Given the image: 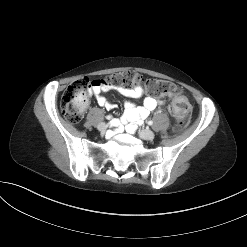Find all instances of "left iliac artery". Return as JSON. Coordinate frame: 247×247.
<instances>
[{"label": "left iliac artery", "instance_id": "left-iliac-artery-1", "mask_svg": "<svg viewBox=\"0 0 247 247\" xmlns=\"http://www.w3.org/2000/svg\"><path fill=\"white\" fill-rule=\"evenodd\" d=\"M148 125H150V126L153 125V121H151V120L148 121Z\"/></svg>", "mask_w": 247, "mask_h": 247}]
</instances>
